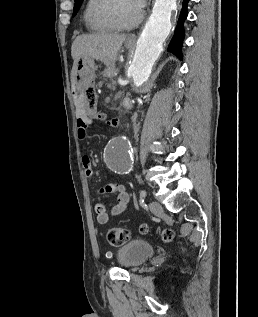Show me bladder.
<instances>
[{"label": "bladder", "mask_w": 258, "mask_h": 317, "mask_svg": "<svg viewBox=\"0 0 258 317\" xmlns=\"http://www.w3.org/2000/svg\"><path fill=\"white\" fill-rule=\"evenodd\" d=\"M154 251L152 244L143 240H134L117 251L116 259L121 267L134 268L152 256Z\"/></svg>", "instance_id": "bladder-1"}]
</instances>
